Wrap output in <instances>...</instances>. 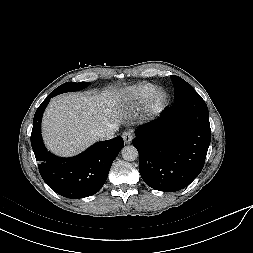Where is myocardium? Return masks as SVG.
Masks as SVG:
<instances>
[{"instance_id": "1", "label": "myocardium", "mask_w": 253, "mask_h": 253, "mask_svg": "<svg viewBox=\"0 0 253 253\" xmlns=\"http://www.w3.org/2000/svg\"><path fill=\"white\" fill-rule=\"evenodd\" d=\"M168 95L163 89H155L148 99V109L158 111L167 101Z\"/></svg>"}]
</instances>
